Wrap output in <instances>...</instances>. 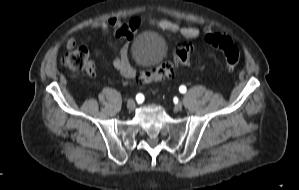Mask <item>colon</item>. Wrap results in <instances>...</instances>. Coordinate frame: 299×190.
<instances>
[{
    "label": "colon",
    "mask_w": 299,
    "mask_h": 190,
    "mask_svg": "<svg viewBox=\"0 0 299 190\" xmlns=\"http://www.w3.org/2000/svg\"><path fill=\"white\" fill-rule=\"evenodd\" d=\"M205 41L218 49L224 57L227 69H233L240 63V52L233 41L219 33H208ZM70 50L62 56L61 63L72 73L81 72L87 65L89 51L84 46H72ZM193 55V46L190 43H180L172 50V59L165 60L158 65L144 70L138 82L143 85L162 82L165 78L174 75L177 68L187 64Z\"/></svg>",
    "instance_id": "obj_1"
}]
</instances>
